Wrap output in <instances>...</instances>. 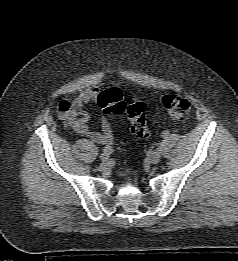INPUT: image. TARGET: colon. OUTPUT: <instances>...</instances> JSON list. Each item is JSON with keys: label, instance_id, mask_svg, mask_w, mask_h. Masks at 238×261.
<instances>
[{"label": "colon", "instance_id": "5ec220e1", "mask_svg": "<svg viewBox=\"0 0 238 261\" xmlns=\"http://www.w3.org/2000/svg\"><path fill=\"white\" fill-rule=\"evenodd\" d=\"M97 102L108 115L125 114L130 122L131 132L139 138H147L149 129L147 126L145 111L146 104L140 98L126 102L122 92L118 88H109L101 91ZM162 105L168 114L176 120H184L189 114L191 104L188 99L167 94L162 97Z\"/></svg>", "mask_w": 238, "mask_h": 261}]
</instances>
